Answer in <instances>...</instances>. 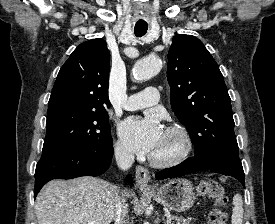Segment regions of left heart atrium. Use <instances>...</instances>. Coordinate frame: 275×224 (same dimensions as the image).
I'll return each mask as SVG.
<instances>
[{
    "label": "left heart atrium",
    "instance_id": "39dd6f15",
    "mask_svg": "<svg viewBox=\"0 0 275 224\" xmlns=\"http://www.w3.org/2000/svg\"><path fill=\"white\" fill-rule=\"evenodd\" d=\"M165 131L154 114L146 117H129L119 126L125 146L137 154H153L159 147Z\"/></svg>",
    "mask_w": 275,
    "mask_h": 224
}]
</instances>
